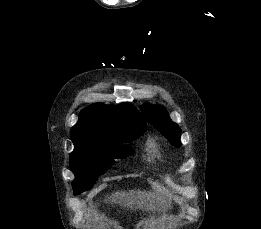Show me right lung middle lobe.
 I'll return each mask as SVG.
<instances>
[{
    "mask_svg": "<svg viewBox=\"0 0 261 229\" xmlns=\"http://www.w3.org/2000/svg\"><path fill=\"white\" fill-rule=\"evenodd\" d=\"M146 128L145 125L131 124L117 128L116 133L124 143H127L143 135ZM133 153V149L126 145L88 144L76 146L70 154L71 170L76 175L72 182L74 194L77 195L91 189L98 176L104 174L107 168L115 163L114 159H123Z\"/></svg>",
    "mask_w": 261,
    "mask_h": 229,
    "instance_id": "dd1d6c3e",
    "label": "right lung middle lobe"
}]
</instances>
